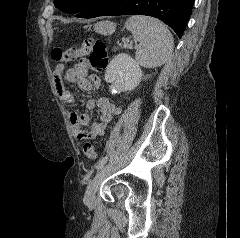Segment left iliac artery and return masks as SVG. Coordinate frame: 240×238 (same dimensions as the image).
Returning <instances> with one entry per match:
<instances>
[{
  "label": "left iliac artery",
  "mask_w": 240,
  "mask_h": 238,
  "mask_svg": "<svg viewBox=\"0 0 240 238\" xmlns=\"http://www.w3.org/2000/svg\"><path fill=\"white\" fill-rule=\"evenodd\" d=\"M107 161L108 157L107 156L103 157L96 166L97 170H100L107 163Z\"/></svg>",
  "instance_id": "44dca946"
}]
</instances>
